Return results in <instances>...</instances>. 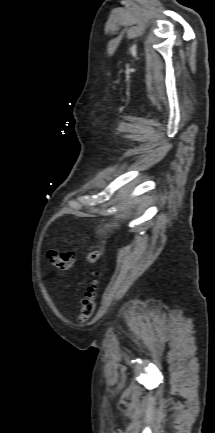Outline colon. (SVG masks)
Instances as JSON below:
<instances>
[{
    "label": "colon",
    "instance_id": "1",
    "mask_svg": "<svg viewBox=\"0 0 215 433\" xmlns=\"http://www.w3.org/2000/svg\"><path fill=\"white\" fill-rule=\"evenodd\" d=\"M49 262L61 271H68L72 268L76 261L74 252H59L57 250H49L47 253ZM100 257V252L95 250L88 254L87 261L89 264H95ZM97 298V282L93 280L89 287L84 292L81 299L80 310L77 314L79 323L87 322L94 313Z\"/></svg>",
    "mask_w": 215,
    "mask_h": 433
}]
</instances>
